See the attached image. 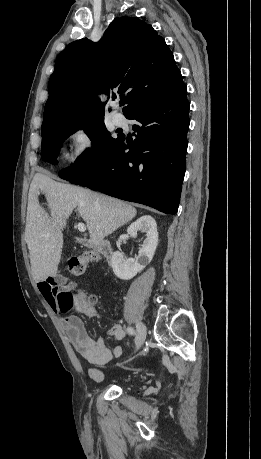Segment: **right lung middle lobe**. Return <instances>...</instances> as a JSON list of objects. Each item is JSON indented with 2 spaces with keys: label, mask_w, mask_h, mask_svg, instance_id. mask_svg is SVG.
Instances as JSON below:
<instances>
[{
  "label": "right lung middle lobe",
  "mask_w": 261,
  "mask_h": 459,
  "mask_svg": "<svg viewBox=\"0 0 261 459\" xmlns=\"http://www.w3.org/2000/svg\"><path fill=\"white\" fill-rule=\"evenodd\" d=\"M79 129L85 131L93 141V145L88 154H82L71 167L59 172V176L68 181H72L96 169L110 156L112 150L122 138L121 135H118L117 138L111 137L105 128L103 120L61 124L42 131V158L47 162L57 164L55 158L59 154L62 142Z\"/></svg>",
  "instance_id": "right-lung-middle-lobe-1"
}]
</instances>
